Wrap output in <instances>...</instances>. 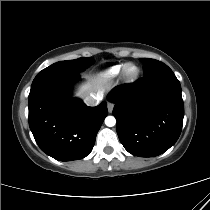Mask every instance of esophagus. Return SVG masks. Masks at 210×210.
Masks as SVG:
<instances>
[{
	"instance_id": "obj_1",
	"label": "esophagus",
	"mask_w": 210,
	"mask_h": 210,
	"mask_svg": "<svg viewBox=\"0 0 210 210\" xmlns=\"http://www.w3.org/2000/svg\"><path fill=\"white\" fill-rule=\"evenodd\" d=\"M107 108H108V111L111 113L112 110H113V108H114V104L111 103V102H108V103H107Z\"/></svg>"
}]
</instances>
